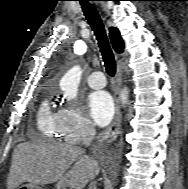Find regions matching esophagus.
<instances>
[{
	"mask_svg": "<svg viewBox=\"0 0 188 189\" xmlns=\"http://www.w3.org/2000/svg\"><path fill=\"white\" fill-rule=\"evenodd\" d=\"M116 81H117V86H116V91H115L116 110H115V116H114L113 122L105 131L104 136H103V141L106 145L111 144L116 139L118 135V131L120 129V124H121L119 89L122 82V67L120 66V64H118V68H117Z\"/></svg>",
	"mask_w": 188,
	"mask_h": 189,
	"instance_id": "1",
	"label": "esophagus"
}]
</instances>
